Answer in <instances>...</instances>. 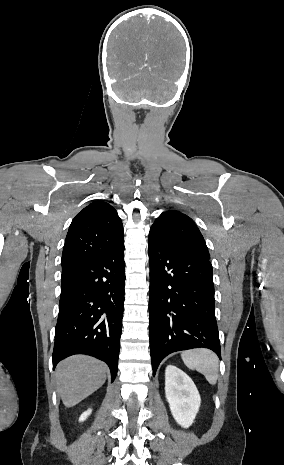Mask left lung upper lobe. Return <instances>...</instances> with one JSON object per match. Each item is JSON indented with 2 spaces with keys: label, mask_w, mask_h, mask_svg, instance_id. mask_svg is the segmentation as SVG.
<instances>
[{
  "label": "left lung upper lobe",
  "mask_w": 284,
  "mask_h": 465,
  "mask_svg": "<svg viewBox=\"0 0 284 465\" xmlns=\"http://www.w3.org/2000/svg\"><path fill=\"white\" fill-rule=\"evenodd\" d=\"M153 235L166 244L209 259L205 240L194 221L180 211L163 212L150 229Z\"/></svg>",
  "instance_id": "5c2ea615"
}]
</instances>
